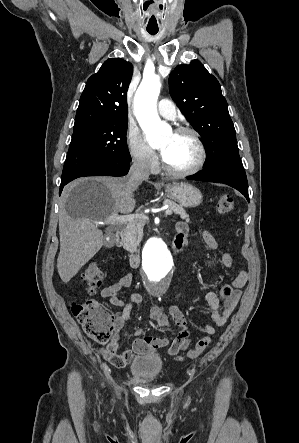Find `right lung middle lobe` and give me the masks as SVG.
Listing matches in <instances>:
<instances>
[{
	"instance_id": "right-lung-middle-lobe-1",
	"label": "right lung middle lobe",
	"mask_w": 299,
	"mask_h": 443,
	"mask_svg": "<svg viewBox=\"0 0 299 443\" xmlns=\"http://www.w3.org/2000/svg\"><path fill=\"white\" fill-rule=\"evenodd\" d=\"M127 125V119H106L74 127L61 182L101 164L131 161Z\"/></svg>"
}]
</instances>
